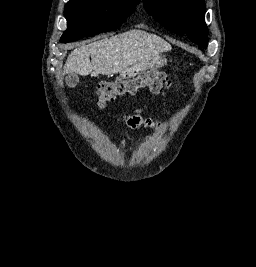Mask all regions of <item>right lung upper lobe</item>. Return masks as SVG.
<instances>
[{
    "label": "right lung upper lobe",
    "instance_id": "1",
    "mask_svg": "<svg viewBox=\"0 0 256 267\" xmlns=\"http://www.w3.org/2000/svg\"><path fill=\"white\" fill-rule=\"evenodd\" d=\"M132 1H134V2H139V0H132Z\"/></svg>",
    "mask_w": 256,
    "mask_h": 267
}]
</instances>
